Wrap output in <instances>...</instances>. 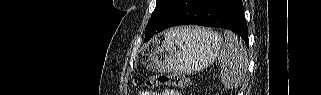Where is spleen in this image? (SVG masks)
Here are the masks:
<instances>
[{
    "mask_svg": "<svg viewBox=\"0 0 321 95\" xmlns=\"http://www.w3.org/2000/svg\"><path fill=\"white\" fill-rule=\"evenodd\" d=\"M225 42L219 53L220 79L225 88H238L244 78L248 56L244 43L233 32L224 31Z\"/></svg>",
    "mask_w": 321,
    "mask_h": 95,
    "instance_id": "obj_1",
    "label": "spleen"
}]
</instances>
